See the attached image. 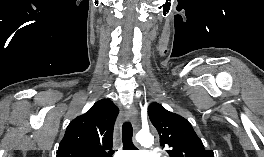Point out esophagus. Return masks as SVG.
<instances>
[{"instance_id":"34e87169","label":"esophagus","mask_w":264,"mask_h":157,"mask_svg":"<svg viewBox=\"0 0 264 157\" xmlns=\"http://www.w3.org/2000/svg\"><path fill=\"white\" fill-rule=\"evenodd\" d=\"M125 115H126V118L128 120H131L132 122H135L136 116H137L136 109L134 107H131L130 109H127L126 112H125Z\"/></svg>"}]
</instances>
